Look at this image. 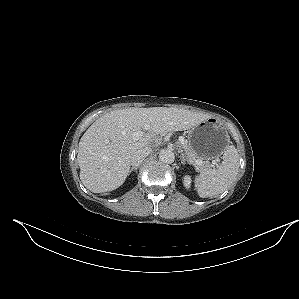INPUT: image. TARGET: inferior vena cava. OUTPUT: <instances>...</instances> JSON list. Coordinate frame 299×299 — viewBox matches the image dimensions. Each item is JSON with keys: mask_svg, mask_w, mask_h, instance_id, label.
Returning <instances> with one entry per match:
<instances>
[{"mask_svg": "<svg viewBox=\"0 0 299 299\" xmlns=\"http://www.w3.org/2000/svg\"><path fill=\"white\" fill-rule=\"evenodd\" d=\"M152 153L151 148H143L135 151L131 156V165L132 166H139L143 160Z\"/></svg>", "mask_w": 299, "mask_h": 299, "instance_id": "602c4592", "label": "inferior vena cava"}]
</instances>
